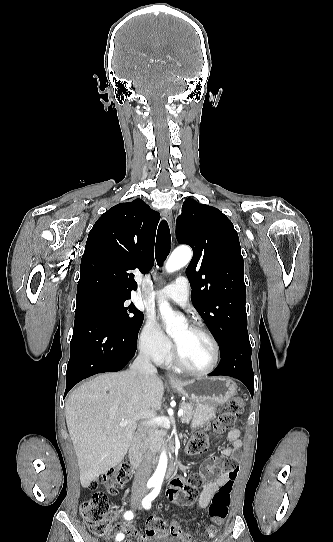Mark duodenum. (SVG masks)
I'll use <instances>...</instances> for the list:
<instances>
[{
  "mask_svg": "<svg viewBox=\"0 0 333 542\" xmlns=\"http://www.w3.org/2000/svg\"><path fill=\"white\" fill-rule=\"evenodd\" d=\"M142 440L141 436L138 435L132 441L129 451L128 459L134 470H141L144 464V458L141 452ZM176 472V467L173 464H170L167 469V477H172Z\"/></svg>",
  "mask_w": 333,
  "mask_h": 542,
  "instance_id": "obj_1",
  "label": "duodenum"
}]
</instances>
